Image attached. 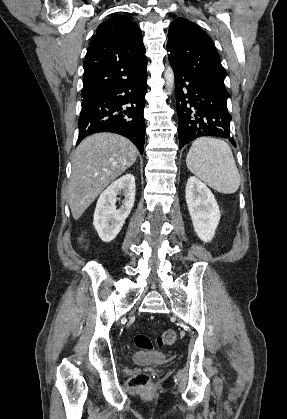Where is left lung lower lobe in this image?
<instances>
[{"label": "left lung lower lobe", "instance_id": "1", "mask_svg": "<svg viewBox=\"0 0 287 419\" xmlns=\"http://www.w3.org/2000/svg\"><path fill=\"white\" fill-rule=\"evenodd\" d=\"M174 74L180 148L203 136L227 138L235 146L224 82L180 71Z\"/></svg>", "mask_w": 287, "mask_h": 419}]
</instances>
